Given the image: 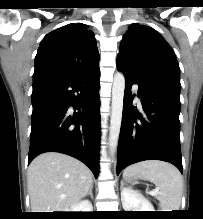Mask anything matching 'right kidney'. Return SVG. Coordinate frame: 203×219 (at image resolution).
I'll return each instance as SVG.
<instances>
[{"label":"right kidney","mask_w":203,"mask_h":219,"mask_svg":"<svg viewBox=\"0 0 203 219\" xmlns=\"http://www.w3.org/2000/svg\"><path fill=\"white\" fill-rule=\"evenodd\" d=\"M92 211H93V206L91 202L87 200L78 202L77 204L71 206L70 210H67V212H92Z\"/></svg>","instance_id":"1"}]
</instances>
